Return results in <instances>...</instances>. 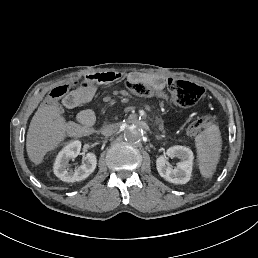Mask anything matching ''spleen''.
Segmentation results:
<instances>
[{"mask_svg": "<svg viewBox=\"0 0 258 258\" xmlns=\"http://www.w3.org/2000/svg\"><path fill=\"white\" fill-rule=\"evenodd\" d=\"M200 173L211 178L220 159L222 138L219 127L210 125L195 137Z\"/></svg>", "mask_w": 258, "mask_h": 258, "instance_id": "3e777b00", "label": "spleen"}]
</instances>
